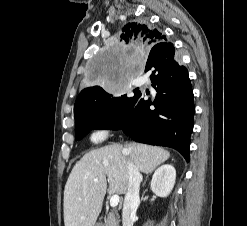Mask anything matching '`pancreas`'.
<instances>
[{
  "mask_svg": "<svg viewBox=\"0 0 247 226\" xmlns=\"http://www.w3.org/2000/svg\"><path fill=\"white\" fill-rule=\"evenodd\" d=\"M105 226H119V219L116 213H108L107 219L105 220Z\"/></svg>",
  "mask_w": 247,
  "mask_h": 226,
  "instance_id": "pancreas-1",
  "label": "pancreas"
}]
</instances>
